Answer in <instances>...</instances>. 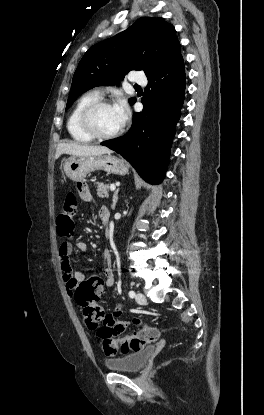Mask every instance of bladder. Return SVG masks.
Wrapping results in <instances>:
<instances>
[{"mask_svg":"<svg viewBox=\"0 0 264 415\" xmlns=\"http://www.w3.org/2000/svg\"><path fill=\"white\" fill-rule=\"evenodd\" d=\"M154 345L146 346L136 352L126 353L116 359H108L105 365L108 369L120 372H139L155 352Z\"/></svg>","mask_w":264,"mask_h":415,"instance_id":"31cf9c89","label":"bladder"}]
</instances>
